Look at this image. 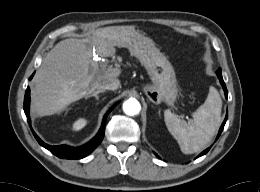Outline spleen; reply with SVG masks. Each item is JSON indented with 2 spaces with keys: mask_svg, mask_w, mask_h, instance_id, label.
Returning a JSON list of instances; mask_svg holds the SVG:
<instances>
[{
  "mask_svg": "<svg viewBox=\"0 0 260 192\" xmlns=\"http://www.w3.org/2000/svg\"><path fill=\"white\" fill-rule=\"evenodd\" d=\"M222 100L214 87L209 88L205 102L187 123L169 109L164 111L168 131L177 140L184 154L196 153L207 146L221 125Z\"/></svg>",
  "mask_w": 260,
  "mask_h": 192,
  "instance_id": "3e777b00",
  "label": "spleen"
}]
</instances>
